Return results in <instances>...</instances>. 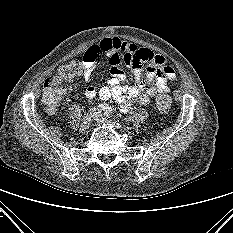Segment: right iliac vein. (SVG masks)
<instances>
[{
	"instance_id": "obj_1",
	"label": "right iliac vein",
	"mask_w": 233,
	"mask_h": 233,
	"mask_svg": "<svg viewBox=\"0 0 233 233\" xmlns=\"http://www.w3.org/2000/svg\"><path fill=\"white\" fill-rule=\"evenodd\" d=\"M98 113V110L96 108H92L89 110V112L87 113V115L84 117L81 126H80V131L85 133L87 132V130L89 129L91 122H92V118H94L96 116V114Z\"/></svg>"
}]
</instances>
